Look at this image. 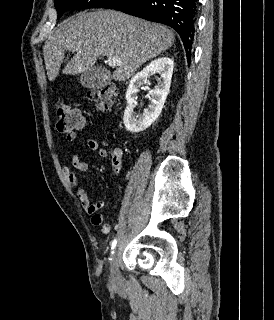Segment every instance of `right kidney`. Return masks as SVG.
Wrapping results in <instances>:
<instances>
[{
	"instance_id": "1",
	"label": "right kidney",
	"mask_w": 274,
	"mask_h": 320,
	"mask_svg": "<svg viewBox=\"0 0 274 320\" xmlns=\"http://www.w3.org/2000/svg\"><path fill=\"white\" fill-rule=\"evenodd\" d=\"M173 68L174 62L172 58H157V60L150 62L146 68H143L141 72L131 78L126 92L127 108L123 116L124 126L128 132H132V134L144 132L159 118L171 86ZM154 74H160L157 86H154L153 90H151L148 108H145L142 116H138L134 112L137 104L138 88H141L143 84H148V78L154 76Z\"/></svg>"
}]
</instances>
